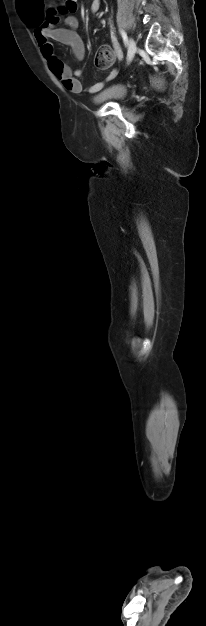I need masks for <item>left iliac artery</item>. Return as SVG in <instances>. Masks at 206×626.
I'll use <instances>...</instances> for the list:
<instances>
[{
  "label": "left iliac artery",
  "instance_id": "obj_1",
  "mask_svg": "<svg viewBox=\"0 0 206 626\" xmlns=\"http://www.w3.org/2000/svg\"><path fill=\"white\" fill-rule=\"evenodd\" d=\"M120 32H121V36L123 38V41L126 44L127 43V34L125 33L124 30H121Z\"/></svg>",
  "mask_w": 206,
  "mask_h": 626
}]
</instances>
